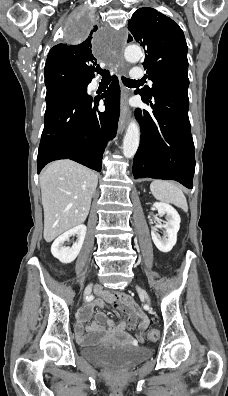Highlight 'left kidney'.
<instances>
[{"label": "left kidney", "mask_w": 228, "mask_h": 396, "mask_svg": "<svg viewBox=\"0 0 228 396\" xmlns=\"http://www.w3.org/2000/svg\"><path fill=\"white\" fill-rule=\"evenodd\" d=\"M153 207L158 210L160 216L166 215V222L161 225H156L151 230L152 240L155 246L161 252H169L175 246L177 241V233L180 228V216L178 212L169 204L162 202H155ZM158 229H164V236L158 234Z\"/></svg>", "instance_id": "left-kidney-1"}]
</instances>
